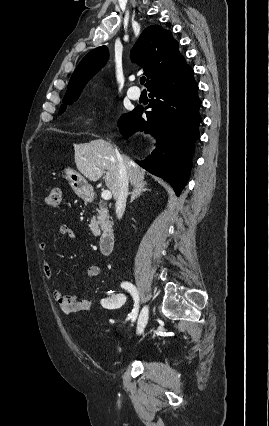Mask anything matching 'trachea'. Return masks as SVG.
<instances>
[{
    "label": "trachea",
    "mask_w": 269,
    "mask_h": 426,
    "mask_svg": "<svg viewBox=\"0 0 269 426\" xmlns=\"http://www.w3.org/2000/svg\"><path fill=\"white\" fill-rule=\"evenodd\" d=\"M145 81H146V78H145V77H141V78H140V83H141V84H144V83H145Z\"/></svg>",
    "instance_id": "obj_1"
}]
</instances>
